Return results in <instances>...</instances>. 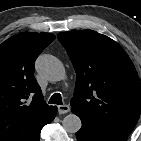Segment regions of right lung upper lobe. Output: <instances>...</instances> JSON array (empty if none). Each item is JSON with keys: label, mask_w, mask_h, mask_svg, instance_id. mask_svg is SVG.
Returning <instances> with one entry per match:
<instances>
[{"label": "right lung upper lobe", "mask_w": 141, "mask_h": 141, "mask_svg": "<svg viewBox=\"0 0 141 141\" xmlns=\"http://www.w3.org/2000/svg\"><path fill=\"white\" fill-rule=\"evenodd\" d=\"M54 39L28 32L0 45V141H30L50 119L54 107L44 101L33 74L36 58Z\"/></svg>", "instance_id": "1"}]
</instances>
